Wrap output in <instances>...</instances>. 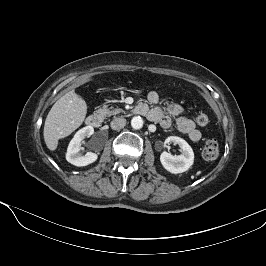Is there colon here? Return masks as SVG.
I'll return each instance as SVG.
<instances>
[{
	"label": "colon",
	"mask_w": 266,
	"mask_h": 266,
	"mask_svg": "<svg viewBox=\"0 0 266 266\" xmlns=\"http://www.w3.org/2000/svg\"><path fill=\"white\" fill-rule=\"evenodd\" d=\"M195 121L199 126H206L209 123L208 115L203 111H198L195 116ZM219 155V144L216 139H208L202 149V156L206 160H214Z\"/></svg>",
	"instance_id": "1"
}]
</instances>
